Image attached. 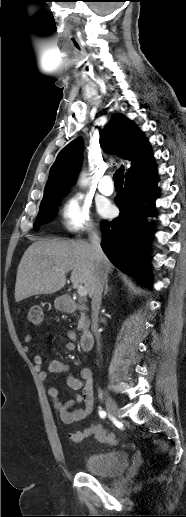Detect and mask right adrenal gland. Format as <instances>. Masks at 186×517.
<instances>
[{
    "label": "right adrenal gland",
    "instance_id": "obj_1",
    "mask_svg": "<svg viewBox=\"0 0 186 517\" xmlns=\"http://www.w3.org/2000/svg\"><path fill=\"white\" fill-rule=\"evenodd\" d=\"M111 290V287L108 286V282L106 283L105 285V291H104V296L107 295V293Z\"/></svg>",
    "mask_w": 186,
    "mask_h": 517
}]
</instances>
